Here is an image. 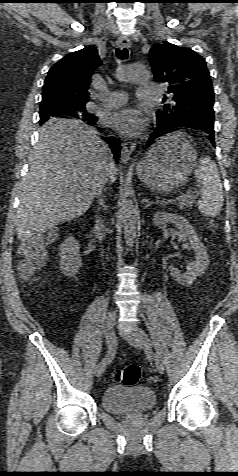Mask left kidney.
Masks as SVG:
<instances>
[{"label": "left kidney", "mask_w": 238, "mask_h": 476, "mask_svg": "<svg viewBox=\"0 0 238 476\" xmlns=\"http://www.w3.org/2000/svg\"><path fill=\"white\" fill-rule=\"evenodd\" d=\"M153 222L158 227L165 226L168 223L175 224L178 228V239L181 241L188 240L190 242L191 247L195 251V260L188 263L186 272L181 273L176 267H169L170 273L177 283L189 286L198 276L204 273L209 264V256L203 243L196 234L193 226L183 216L173 213L156 212Z\"/></svg>", "instance_id": "5707ae66"}]
</instances>
